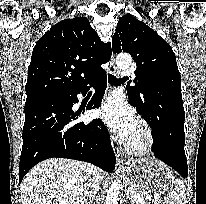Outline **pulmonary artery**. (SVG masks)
<instances>
[{
    "label": "pulmonary artery",
    "mask_w": 206,
    "mask_h": 204,
    "mask_svg": "<svg viewBox=\"0 0 206 204\" xmlns=\"http://www.w3.org/2000/svg\"><path fill=\"white\" fill-rule=\"evenodd\" d=\"M132 72H133V69L131 68V69L127 70V71H124L123 75L127 76V75L131 74Z\"/></svg>",
    "instance_id": "1"
}]
</instances>
